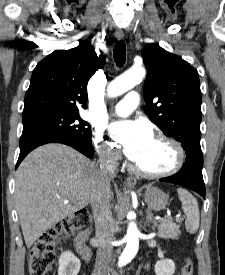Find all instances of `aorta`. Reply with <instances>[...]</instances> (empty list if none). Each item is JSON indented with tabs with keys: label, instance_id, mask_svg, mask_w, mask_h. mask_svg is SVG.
Segmentation results:
<instances>
[{
	"label": "aorta",
	"instance_id": "obj_1",
	"mask_svg": "<svg viewBox=\"0 0 225 275\" xmlns=\"http://www.w3.org/2000/svg\"><path fill=\"white\" fill-rule=\"evenodd\" d=\"M146 75L144 68H130L128 71L113 80L107 88L109 97H117L132 89L135 85L140 83ZM136 214L130 211L127 214L129 220L127 234L125 236L127 244L123 250L118 265L122 267L128 264L137 254L139 248V230L135 223Z\"/></svg>",
	"mask_w": 225,
	"mask_h": 275
}]
</instances>
